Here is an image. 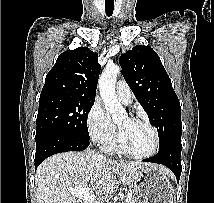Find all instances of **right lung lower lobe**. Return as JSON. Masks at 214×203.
<instances>
[{
    "mask_svg": "<svg viewBox=\"0 0 214 203\" xmlns=\"http://www.w3.org/2000/svg\"><path fill=\"white\" fill-rule=\"evenodd\" d=\"M89 144L90 142L87 140L62 134L44 136L36 141L35 170L43 160L53 154L68 151H83Z\"/></svg>",
    "mask_w": 214,
    "mask_h": 203,
    "instance_id": "98d812e1",
    "label": "right lung lower lobe"
}]
</instances>
